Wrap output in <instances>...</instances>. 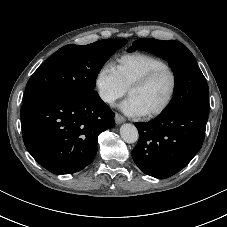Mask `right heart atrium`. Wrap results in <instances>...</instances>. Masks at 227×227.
<instances>
[{"label":"right heart atrium","instance_id":"d8ad5b80","mask_svg":"<svg viewBox=\"0 0 227 227\" xmlns=\"http://www.w3.org/2000/svg\"><path fill=\"white\" fill-rule=\"evenodd\" d=\"M94 85L98 97L107 105H113L127 91L110 65H103L98 69L94 77Z\"/></svg>","mask_w":227,"mask_h":227}]
</instances>
